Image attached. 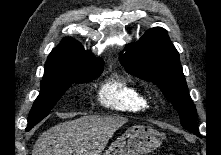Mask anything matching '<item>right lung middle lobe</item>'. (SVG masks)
I'll return each mask as SVG.
<instances>
[{"label": "right lung middle lobe", "mask_w": 221, "mask_h": 155, "mask_svg": "<svg viewBox=\"0 0 221 155\" xmlns=\"http://www.w3.org/2000/svg\"><path fill=\"white\" fill-rule=\"evenodd\" d=\"M103 67L72 69L56 73L45 72L41 82V92L29 113L26 131L32 129L49 114L71 83L94 80L101 74Z\"/></svg>", "instance_id": "obj_1"}]
</instances>
